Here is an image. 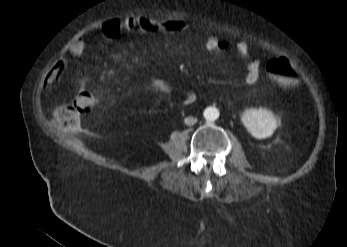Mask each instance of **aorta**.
I'll return each instance as SVG.
<instances>
[{"label":"aorta","instance_id":"762f6f07","mask_svg":"<svg viewBox=\"0 0 347 247\" xmlns=\"http://www.w3.org/2000/svg\"><path fill=\"white\" fill-rule=\"evenodd\" d=\"M219 117V112L216 109L213 108H207L204 111V118L207 121H214Z\"/></svg>","mask_w":347,"mask_h":247}]
</instances>
